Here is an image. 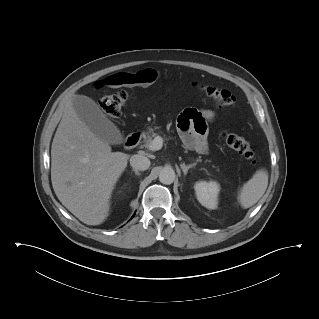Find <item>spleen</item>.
Wrapping results in <instances>:
<instances>
[{"label":"spleen","instance_id":"spleen-1","mask_svg":"<svg viewBox=\"0 0 319 319\" xmlns=\"http://www.w3.org/2000/svg\"><path fill=\"white\" fill-rule=\"evenodd\" d=\"M268 186V172L259 169L253 177L246 182L239 191L238 200L245 209L256 204L264 195Z\"/></svg>","mask_w":319,"mask_h":319}]
</instances>
